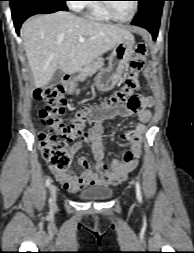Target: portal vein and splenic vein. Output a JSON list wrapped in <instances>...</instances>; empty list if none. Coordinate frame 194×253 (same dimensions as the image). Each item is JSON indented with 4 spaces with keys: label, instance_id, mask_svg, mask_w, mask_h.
Listing matches in <instances>:
<instances>
[{
    "label": "portal vein and splenic vein",
    "instance_id": "portal-vein-and-splenic-vein-1",
    "mask_svg": "<svg viewBox=\"0 0 194 253\" xmlns=\"http://www.w3.org/2000/svg\"><path fill=\"white\" fill-rule=\"evenodd\" d=\"M78 41H79V42H84V41H85V38L80 37V38L78 39Z\"/></svg>",
    "mask_w": 194,
    "mask_h": 253
}]
</instances>
